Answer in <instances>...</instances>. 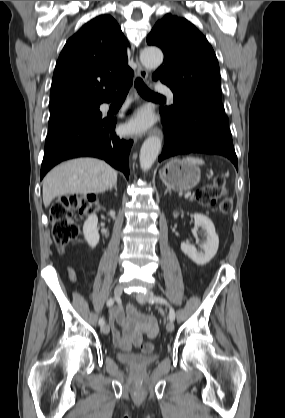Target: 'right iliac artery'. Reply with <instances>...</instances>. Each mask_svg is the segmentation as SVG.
I'll use <instances>...</instances> for the list:
<instances>
[{
  "label": "right iliac artery",
  "instance_id": "obj_1",
  "mask_svg": "<svg viewBox=\"0 0 285 418\" xmlns=\"http://www.w3.org/2000/svg\"><path fill=\"white\" fill-rule=\"evenodd\" d=\"M114 299L113 298H110L108 301H107V306H112L113 304H114ZM104 323H105V321H104V319L103 318H100L99 319V325L100 326H103L104 325Z\"/></svg>",
  "mask_w": 285,
  "mask_h": 418
}]
</instances>
